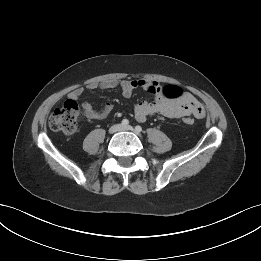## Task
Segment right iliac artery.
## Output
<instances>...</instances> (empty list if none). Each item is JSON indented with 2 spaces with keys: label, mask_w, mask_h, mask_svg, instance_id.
Here are the masks:
<instances>
[{
  "label": "right iliac artery",
  "mask_w": 261,
  "mask_h": 261,
  "mask_svg": "<svg viewBox=\"0 0 261 261\" xmlns=\"http://www.w3.org/2000/svg\"><path fill=\"white\" fill-rule=\"evenodd\" d=\"M121 124H122L123 126H127V125L129 124V121H128L127 119H123L122 122H121Z\"/></svg>",
  "instance_id": "right-iliac-artery-1"
}]
</instances>
